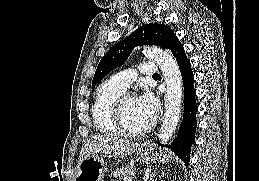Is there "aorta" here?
Wrapping results in <instances>:
<instances>
[{
    "instance_id": "obj_1",
    "label": "aorta",
    "mask_w": 259,
    "mask_h": 181,
    "mask_svg": "<svg viewBox=\"0 0 259 181\" xmlns=\"http://www.w3.org/2000/svg\"><path fill=\"white\" fill-rule=\"evenodd\" d=\"M146 54L156 61L165 78V113L159 133L161 143H167L178 125L182 104V76L178 64L171 54L160 48H148Z\"/></svg>"
}]
</instances>
